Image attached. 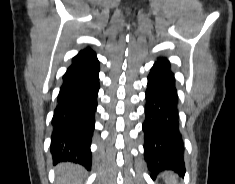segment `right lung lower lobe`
Wrapping results in <instances>:
<instances>
[{
	"mask_svg": "<svg viewBox=\"0 0 235 184\" xmlns=\"http://www.w3.org/2000/svg\"><path fill=\"white\" fill-rule=\"evenodd\" d=\"M99 61L92 50L72 59L52 119L51 153L54 163L71 161L91 166V139L99 90Z\"/></svg>",
	"mask_w": 235,
	"mask_h": 184,
	"instance_id": "right-lung-lower-lobe-1",
	"label": "right lung lower lobe"
}]
</instances>
